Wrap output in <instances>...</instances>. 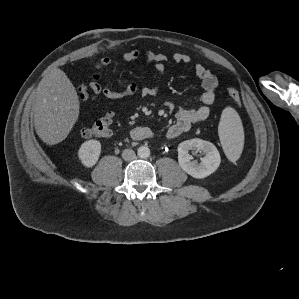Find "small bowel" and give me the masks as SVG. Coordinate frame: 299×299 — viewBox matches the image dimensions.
<instances>
[{"label": "small bowel", "mask_w": 299, "mask_h": 299, "mask_svg": "<svg viewBox=\"0 0 299 299\" xmlns=\"http://www.w3.org/2000/svg\"><path fill=\"white\" fill-rule=\"evenodd\" d=\"M140 57V51L137 49L130 50L121 55L123 61H133ZM146 62L154 69L156 76H160L165 71L166 63L171 61L173 63L187 64L191 61L189 55L184 53H174L172 56H167L163 53L147 52L145 54ZM119 60L113 61L109 57H104L99 60L96 65L97 72L94 75L93 80L89 83L90 90L95 95H103L107 99H121L123 97L139 93L142 97H155L158 94L157 87H142L139 88L137 83L130 81L122 90H114L109 87H103L100 83L101 76L98 71L108 67H112L114 70L118 67ZM195 73L200 78L203 92L199 96L200 105L195 108L179 107L176 110V120L167 129L166 138L174 139L181 134L189 131L193 124L204 121L209 118L211 114L210 106L216 100V89L218 86L217 77L203 64H196ZM140 127L134 128L131 131V136L134 139V135Z\"/></svg>", "instance_id": "small-bowel-1"}]
</instances>
